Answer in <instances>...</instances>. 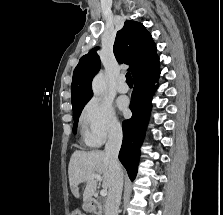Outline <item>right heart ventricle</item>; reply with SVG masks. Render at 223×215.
I'll list each match as a JSON object with an SVG mask.
<instances>
[{"label": "right heart ventricle", "instance_id": "obj_1", "mask_svg": "<svg viewBox=\"0 0 223 215\" xmlns=\"http://www.w3.org/2000/svg\"><path fill=\"white\" fill-rule=\"evenodd\" d=\"M82 133H83V136H84V138H85V134H84L83 130H82Z\"/></svg>", "mask_w": 223, "mask_h": 215}]
</instances>
